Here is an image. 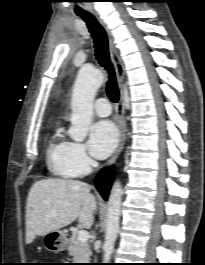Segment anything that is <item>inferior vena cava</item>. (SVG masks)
Instances as JSON below:
<instances>
[{
	"mask_svg": "<svg viewBox=\"0 0 205 265\" xmlns=\"http://www.w3.org/2000/svg\"><path fill=\"white\" fill-rule=\"evenodd\" d=\"M92 165H93V166H96V165H97V162L93 161V162H92Z\"/></svg>",
	"mask_w": 205,
	"mask_h": 265,
	"instance_id": "602c4592",
	"label": "inferior vena cava"
}]
</instances>
